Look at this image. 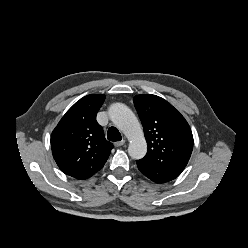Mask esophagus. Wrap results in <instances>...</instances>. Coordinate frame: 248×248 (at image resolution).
<instances>
[{
  "label": "esophagus",
  "instance_id": "1",
  "mask_svg": "<svg viewBox=\"0 0 248 248\" xmlns=\"http://www.w3.org/2000/svg\"><path fill=\"white\" fill-rule=\"evenodd\" d=\"M125 144V140H121V141H118V142H115L114 145L115 147H121Z\"/></svg>",
  "mask_w": 248,
  "mask_h": 248
}]
</instances>
